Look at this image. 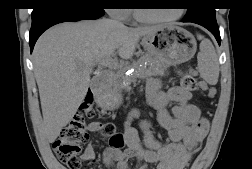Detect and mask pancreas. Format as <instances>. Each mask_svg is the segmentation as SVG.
Masks as SVG:
<instances>
[{"label":"pancreas","mask_w":252,"mask_h":169,"mask_svg":"<svg viewBox=\"0 0 252 169\" xmlns=\"http://www.w3.org/2000/svg\"><path fill=\"white\" fill-rule=\"evenodd\" d=\"M145 63H147L148 67L145 66ZM156 66H162V65L154 57L146 55L142 57L134 66L136 68V71L130 77H126L125 79L130 82H133L137 78L147 79L156 74H163L164 73L163 70L155 71ZM125 70H126L125 68L121 69L117 71L111 78H109L107 80L108 87H112L115 83H117V81L123 76Z\"/></svg>","instance_id":"obj_1"}]
</instances>
